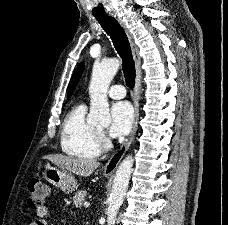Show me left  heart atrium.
<instances>
[{"instance_id":"1","label":"left heart atrium","mask_w":228,"mask_h":225,"mask_svg":"<svg viewBox=\"0 0 228 225\" xmlns=\"http://www.w3.org/2000/svg\"><path fill=\"white\" fill-rule=\"evenodd\" d=\"M133 119V109L128 102L115 103L110 109V135L113 137L126 136L131 130Z\"/></svg>"}]
</instances>
